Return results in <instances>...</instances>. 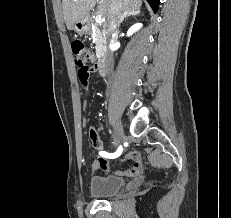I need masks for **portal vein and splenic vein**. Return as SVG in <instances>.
I'll return each mask as SVG.
<instances>
[{
    "instance_id": "portal-vein-and-splenic-vein-1",
    "label": "portal vein and splenic vein",
    "mask_w": 231,
    "mask_h": 218,
    "mask_svg": "<svg viewBox=\"0 0 231 218\" xmlns=\"http://www.w3.org/2000/svg\"><path fill=\"white\" fill-rule=\"evenodd\" d=\"M104 20H105V18H103L102 15H100V14L96 15V17H95V22H96L97 24L103 23Z\"/></svg>"
}]
</instances>
